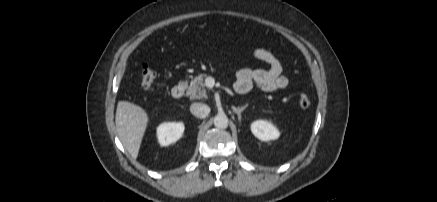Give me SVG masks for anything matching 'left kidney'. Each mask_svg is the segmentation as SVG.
<instances>
[{
    "instance_id": "left-kidney-1",
    "label": "left kidney",
    "mask_w": 437,
    "mask_h": 202,
    "mask_svg": "<svg viewBox=\"0 0 437 202\" xmlns=\"http://www.w3.org/2000/svg\"><path fill=\"white\" fill-rule=\"evenodd\" d=\"M251 131L261 141L278 139L280 132L267 120H256L251 124Z\"/></svg>"
}]
</instances>
